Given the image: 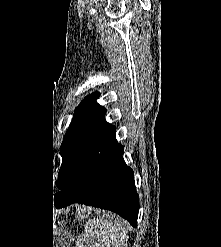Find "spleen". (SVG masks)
<instances>
[{
  "label": "spleen",
  "instance_id": "3e777b00",
  "mask_svg": "<svg viewBox=\"0 0 221 247\" xmlns=\"http://www.w3.org/2000/svg\"><path fill=\"white\" fill-rule=\"evenodd\" d=\"M127 239L122 220L94 219L86 224L83 243L79 247H126Z\"/></svg>",
  "mask_w": 221,
  "mask_h": 247
}]
</instances>
